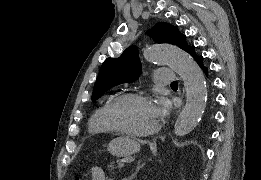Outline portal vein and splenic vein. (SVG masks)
I'll return each mask as SVG.
<instances>
[{
    "label": "portal vein and splenic vein",
    "instance_id": "portal-vein-and-splenic-vein-1",
    "mask_svg": "<svg viewBox=\"0 0 261 180\" xmlns=\"http://www.w3.org/2000/svg\"><path fill=\"white\" fill-rule=\"evenodd\" d=\"M116 165H117V169L118 170H123L124 169L123 161H117Z\"/></svg>",
    "mask_w": 261,
    "mask_h": 180
}]
</instances>
